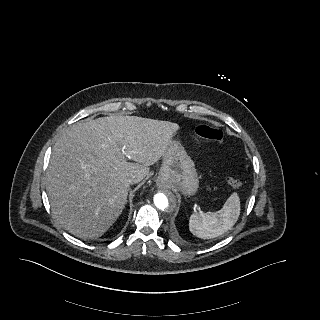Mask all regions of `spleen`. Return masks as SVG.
Masks as SVG:
<instances>
[{
	"label": "spleen",
	"mask_w": 320,
	"mask_h": 320,
	"mask_svg": "<svg viewBox=\"0 0 320 320\" xmlns=\"http://www.w3.org/2000/svg\"><path fill=\"white\" fill-rule=\"evenodd\" d=\"M240 199L237 193H232L222 209L216 212L191 214L189 229L193 235L209 239L220 236L230 230L240 215Z\"/></svg>",
	"instance_id": "obj_1"
}]
</instances>
